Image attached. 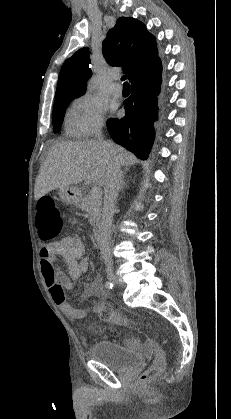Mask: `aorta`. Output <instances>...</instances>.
<instances>
[{
    "instance_id": "762f6f07",
    "label": "aorta",
    "mask_w": 231,
    "mask_h": 419,
    "mask_svg": "<svg viewBox=\"0 0 231 419\" xmlns=\"http://www.w3.org/2000/svg\"><path fill=\"white\" fill-rule=\"evenodd\" d=\"M94 88V82L91 81L88 85V90H92Z\"/></svg>"
}]
</instances>
